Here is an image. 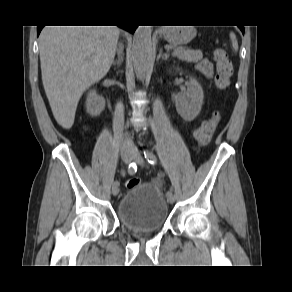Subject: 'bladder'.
Returning a JSON list of instances; mask_svg holds the SVG:
<instances>
[{"label": "bladder", "instance_id": "31cf9c89", "mask_svg": "<svg viewBox=\"0 0 292 292\" xmlns=\"http://www.w3.org/2000/svg\"><path fill=\"white\" fill-rule=\"evenodd\" d=\"M117 216L129 232L155 233L166 224L169 207L160 187L147 183L127 190L118 202Z\"/></svg>", "mask_w": 292, "mask_h": 292}]
</instances>
